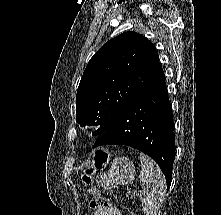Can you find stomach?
I'll list each match as a JSON object with an SVG mask.
<instances>
[{
  "instance_id": "stomach-1",
  "label": "stomach",
  "mask_w": 221,
  "mask_h": 215,
  "mask_svg": "<svg viewBox=\"0 0 221 215\" xmlns=\"http://www.w3.org/2000/svg\"><path fill=\"white\" fill-rule=\"evenodd\" d=\"M135 166L126 157H116L111 163L108 172L101 173L99 183L104 190L111 189L116 185H124L134 180Z\"/></svg>"
}]
</instances>
